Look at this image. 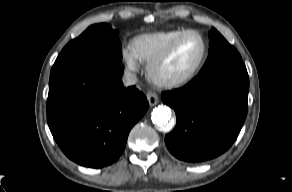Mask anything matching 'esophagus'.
<instances>
[{"label": "esophagus", "instance_id": "obj_1", "mask_svg": "<svg viewBox=\"0 0 292 192\" xmlns=\"http://www.w3.org/2000/svg\"><path fill=\"white\" fill-rule=\"evenodd\" d=\"M146 97L150 106H154L159 102V98L155 92L152 91L148 92Z\"/></svg>", "mask_w": 292, "mask_h": 192}]
</instances>
